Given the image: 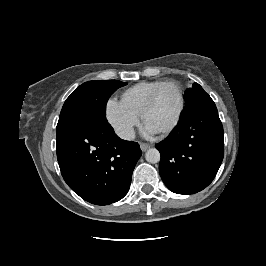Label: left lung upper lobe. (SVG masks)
I'll return each instance as SVG.
<instances>
[{"label": "left lung upper lobe", "instance_id": "1", "mask_svg": "<svg viewBox=\"0 0 266 266\" xmlns=\"http://www.w3.org/2000/svg\"><path fill=\"white\" fill-rule=\"evenodd\" d=\"M205 96H208V94L203 90V88L198 83H195V85L192 88L187 89V91L185 92L186 108H188L195 101Z\"/></svg>", "mask_w": 266, "mask_h": 266}]
</instances>
